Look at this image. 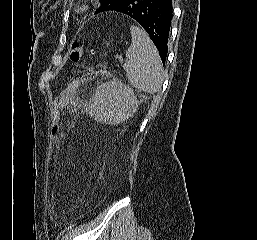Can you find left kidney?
Segmentation results:
<instances>
[{
  "label": "left kidney",
  "mask_w": 257,
  "mask_h": 240,
  "mask_svg": "<svg viewBox=\"0 0 257 240\" xmlns=\"http://www.w3.org/2000/svg\"><path fill=\"white\" fill-rule=\"evenodd\" d=\"M95 120L119 124L135 112L137 99L132 89L120 81H112L97 88L93 99Z\"/></svg>",
  "instance_id": "1"
}]
</instances>
